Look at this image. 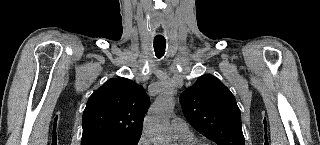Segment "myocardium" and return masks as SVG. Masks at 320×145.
Listing matches in <instances>:
<instances>
[{
    "label": "myocardium",
    "instance_id": "f54148a6",
    "mask_svg": "<svg viewBox=\"0 0 320 145\" xmlns=\"http://www.w3.org/2000/svg\"><path fill=\"white\" fill-rule=\"evenodd\" d=\"M186 145H209V144L202 142V141H192Z\"/></svg>",
    "mask_w": 320,
    "mask_h": 145
}]
</instances>
